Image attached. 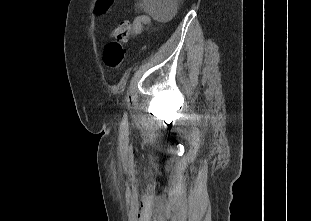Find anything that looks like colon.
<instances>
[{
  "instance_id": "1",
  "label": "colon",
  "mask_w": 311,
  "mask_h": 221,
  "mask_svg": "<svg viewBox=\"0 0 311 221\" xmlns=\"http://www.w3.org/2000/svg\"><path fill=\"white\" fill-rule=\"evenodd\" d=\"M95 12L97 17H104L106 9L111 8L110 0H98L94 4ZM131 30L130 22L121 23L115 30V34L122 35L125 34L129 36ZM103 59L105 64L109 69L119 70L124 63L125 59V49L118 41H111L106 45L103 53Z\"/></svg>"
}]
</instances>
